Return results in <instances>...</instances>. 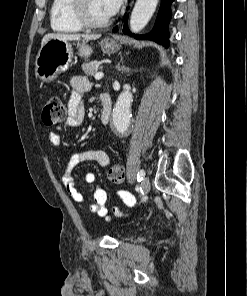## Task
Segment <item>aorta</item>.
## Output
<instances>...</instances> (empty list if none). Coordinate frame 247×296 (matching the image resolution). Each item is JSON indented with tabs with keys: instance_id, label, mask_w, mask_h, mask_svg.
<instances>
[{
	"instance_id": "762f6f07",
	"label": "aorta",
	"mask_w": 247,
	"mask_h": 296,
	"mask_svg": "<svg viewBox=\"0 0 247 296\" xmlns=\"http://www.w3.org/2000/svg\"><path fill=\"white\" fill-rule=\"evenodd\" d=\"M158 0H137L130 18L132 32H140L149 22L156 10ZM132 93L129 86L118 97L112 113L113 125L117 132L124 134L128 131L131 120Z\"/></svg>"
}]
</instances>
